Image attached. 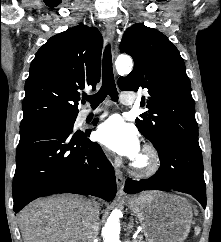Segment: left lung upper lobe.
I'll return each mask as SVG.
<instances>
[{
  "mask_svg": "<svg viewBox=\"0 0 221 242\" xmlns=\"http://www.w3.org/2000/svg\"><path fill=\"white\" fill-rule=\"evenodd\" d=\"M120 49L134 59L133 71L118 81L120 89L147 88L149 93L141 100L149 110L136 119L141 134L154 146L173 134L198 138L190 80L177 48L158 30L134 24Z\"/></svg>",
  "mask_w": 221,
  "mask_h": 242,
  "instance_id": "obj_1",
  "label": "left lung upper lobe"
}]
</instances>
